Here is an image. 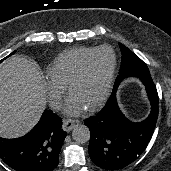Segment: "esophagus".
I'll return each instance as SVG.
<instances>
[{"label":"esophagus","instance_id":"obj_1","mask_svg":"<svg viewBox=\"0 0 171 171\" xmlns=\"http://www.w3.org/2000/svg\"><path fill=\"white\" fill-rule=\"evenodd\" d=\"M78 124H79L78 120L66 119L63 121L62 127L64 131L70 132Z\"/></svg>","mask_w":171,"mask_h":171}]
</instances>
